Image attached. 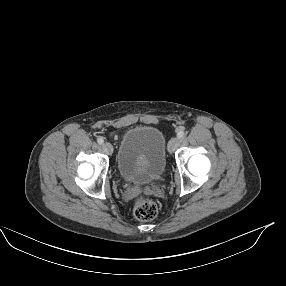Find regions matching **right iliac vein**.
<instances>
[{
  "mask_svg": "<svg viewBox=\"0 0 286 286\" xmlns=\"http://www.w3.org/2000/svg\"><path fill=\"white\" fill-rule=\"evenodd\" d=\"M102 148H103L104 152H106L107 154H112L113 153V146L109 142H105L102 145Z\"/></svg>",
  "mask_w": 286,
  "mask_h": 286,
  "instance_id": "obj_1",
  "label": "right iliac vein"
}]
</instances>
